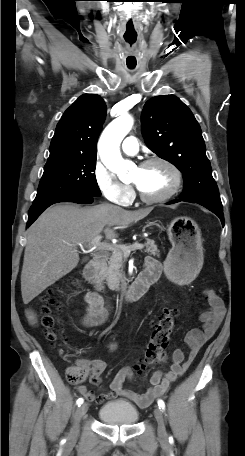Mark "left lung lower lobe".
<instances>
[{
  "mask_svg": "<svg viewBox=\"0 0 245 456\" xmlns=\"http://www.w3.org/2000/svg\"><path fill=\"white\" fill-rule=\"evenodd\" d=\"M176 201H173L172 203H175ZM206 207L207 209H209L210 211H212L213 213H215L221 220V223L222 225L224 226V216H223V212H222V209H218V208H215V207H211V206H204Z\"/></svg>",
  "mask_w": 245,
  "mask_h": 456,
  "instance_id": "obj_1",
  "label": "left lung lower lobe"
}]
</instances>
